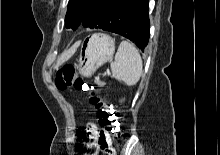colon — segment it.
<instances>
[{"label": "colon", "instance_id": "obj_1", "mask_svg": "<svg viewBox=\"0 0 220 155\" xmlns=\"http://www.w3.org/2000/svg\"><path fill=\"white\" fill-rule=\"evenodd\" d=\"M55 85L59 90L74 89L89 94V103L95 108L102 130L97 138L88 146L89 150L84 155H97L100 148L104 155H113L117 138L120 137L121 116L106 103L100 94V90L86 80L82 74L73 66L65 65L59 69L55 77ZM110 133L111 137H110ZM107 153V154H106Z\"/></svg>", "mask_w": 220, "mask_h": 155}]
</instances>
